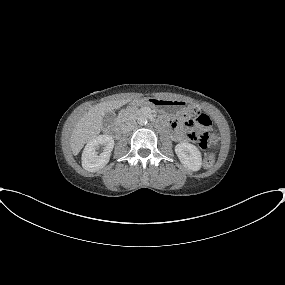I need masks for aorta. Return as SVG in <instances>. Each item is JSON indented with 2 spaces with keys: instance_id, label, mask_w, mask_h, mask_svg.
<instances>
[{
  "instance_id": "obj_1",
  "label": "aorta",
  "mask_w": 285,
  "mask_h": 285,
  "mask_svg": "<svg viewBox=\"0 0 285 285\" xmlns=\"http://www.w3.org/2000/svg\"><path fill=\"white\" fill-rule=\"evenodd\" d=\"M147 121H148L147 118L143 115L139 116V118L137 120L139 125H145V124H147Z\"/></svg>"
}]
</instances>
